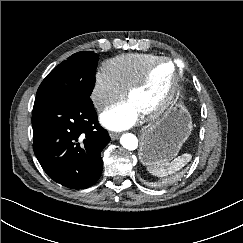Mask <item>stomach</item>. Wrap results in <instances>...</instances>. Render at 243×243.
<instances>
[{"mask_svg":"<svg viewBox=\"0 0 243 243\" xmlns=\"http://www.w3.org/2000/svg\"><path fill=\"white\" fill-rule=\"evenodd\" d=\"M192 131V118L181 104H173L161 117L142 128L139 159L146 166L177 156Z\"/></svg>","mask_w":243,"mask_h":243,"instance_id":"0dacf381","label":"stomach"}]
</instances>
